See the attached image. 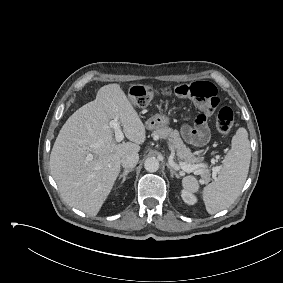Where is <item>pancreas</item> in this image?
<instances>
[{"label": "pancreas", "instance_id": "1", "mask_svg": "<svg viewBox=\"0 0 283 283\" xmlns=\"http://www.w3.org/2000/svg\"><path fill=\"white\" fill-rule=\"evenodd\" d=\"M153 135L168 140L171 146L175 149L179 160L186 164L196 166L195 171L201 175L203 182L206 183L209 181L210 170L208 169V165L202 162V157H197L195 153L191 152V149L183 143L177 130L165 127L154 131Z\"/></svg>", "mask_w": 283, "mask_h": 283}]
</instances>
